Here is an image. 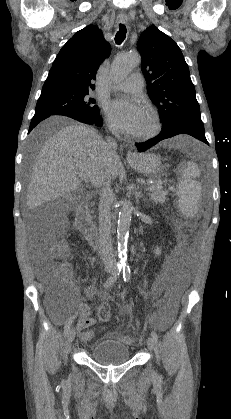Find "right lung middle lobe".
Segmentation results:
<instances>
[{"instance_id":"obj_1","label":"right lung middle lobe","mask_w":231,"mask_h":419,"mask_svg":"<svg viewBox=\"0 0 231 419\" xmlns=\"http://www.w3.org/2000/svg\"><path fill=\"white\" fill-rule=\"evenodd\" d=\"M90 90L62 85L43 86L35 113L63 115L76 120H89L99 116Z\"/></svg>"}]
</instances>
